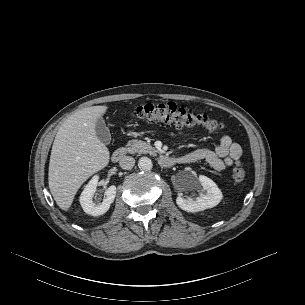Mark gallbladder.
<instances>
[{
    "instance_id": "bac80fb5",
    "label": "gallbladder",
    "mask_w": 305,
    "mask_h": 305,
    "mask_svg": "<svg viewBox=\"0 0 305 305\" xmlns=\"http://www.w3.org/2000/svg\"><path fill=\"white\" fill-rule=\"evenodd\" d=\"M95 130H96L97 137L103 144H105V145L110 144L111 134H110V131H109L108 127L106 126L103 118H99L97 120Z\"/></svg>"
}]
</instances>
